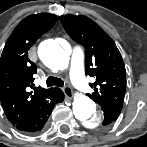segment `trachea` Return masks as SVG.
<instances>
[{
  "label": "trachea",
  "instance_id": "3493384b",
  "mask_svg": "<svg viewBox=\"0 0 147 147\" xmlns=\"http://www.w3.org/2000/svg\"><path fill=\"white\" fill-rule=\"evenodd\" d=\"M46 85L48 87H50V86L63 87L64 82L60 78L49 76L46 80Z\"/></svg>",
  "mask_w": 147,
  "mask_h": 147
}]
</instances>
